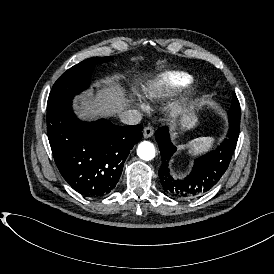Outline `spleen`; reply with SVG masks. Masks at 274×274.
I'll list each match as a JSON object with an SVG mask.
<instances>
[{
	"label": "spleen",
	"instance_id": "3e777b00",
	"mask_svg": "<svg viewBox=\"0 0 274 274\" xmlns=\"http://www.w3.org/2000/svg\"><path fill=\"white\" fill-rule=\"evenodd\" d=\"M210 143H211V138L200 137V138L194 139L193 141H191L188 144H185V147L187 149H191V152L193 154V153H197L200 150L207 148Z\"/></svg>",
	"mask_w": 274,
	"mask_h": 274
}]
</instances>
